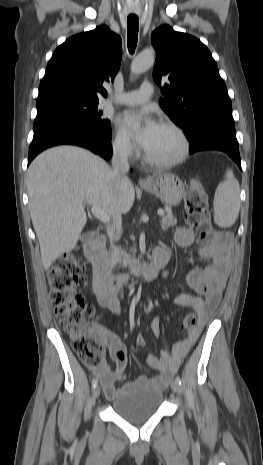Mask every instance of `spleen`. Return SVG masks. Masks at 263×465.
Returning a JSON list of instances; mask_svg holds the SVG:
<instances>
[{"label":"spleen","instance_id":"1","mask_svg":"<svg viewBox=\"0 0 263 465\" xmlns=\"http://www.w3.org/2000/svg\"><path fill=\"white\" fill-rule=\"evenodd\" d=\"M240 187L232 170H227L214 196V221L220 227H231L239 214Z\"/></svg>","mask_w":263,"mask_h":465}]
</instances>
